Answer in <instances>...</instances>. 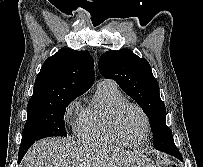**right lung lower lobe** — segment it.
<instances>
[{
  "label": "right lung lower lobe",
  "instance_id": "obj_1",
  "mask_svg": "<svg viewBox=\"0 0 203 167\" xmlns=\"http://www.w3.org/2000/svg\"><path fill=\"white\" fill-rule=\"evenodd\" d=\"M34 143V142H33ZM33 143H26V144H22L20 146V149H19V154H18V163L21 162L22 158L24 157L25 153L27 152V150L30 148V146L33 144Z\"/></svg>",
  "mask_w": 203,
  "mask_h": 167
}]
</instances>
